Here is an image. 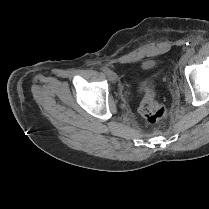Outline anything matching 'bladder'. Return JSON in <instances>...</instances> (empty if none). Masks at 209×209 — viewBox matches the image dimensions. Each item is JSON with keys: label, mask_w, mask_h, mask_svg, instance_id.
<instances>
[{"label": "bladder", "mask_w": 209, "mask_h": 209, "mask_svg": "<svg viewBox=\"0 0 209 209\" xmlns=\"http://www.w3.org/2000/svg\"><path fill=\"white\" fill-rule=\"evenodd\" d=\"M153 65H154V62L151 61V60H148V61H146V62L143 63V67L144 68H149V67H151Z\"/></svg>", "instance_id": "bladder-1"}]
</instances>
